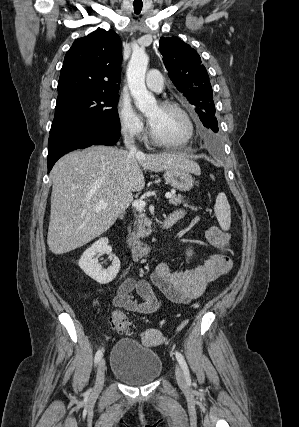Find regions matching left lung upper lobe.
<instances>
[{
  "mask_svg": "<svg viewBox=\"0 0 299 427\" xmlns=\"http://www.w3.org/2000/svg\"><path fill=\"white\" fill-rule=\"evenodd\" d=\"M159 51L177 89L195 106L203 125L218 132L212 86L199 54L176 37L160 38Z\"/></svg>",
  "mask_w": 299,
  "mask_h": 427,
  "instance_id": "1",
  "label": "left lung upper lobe"
}]
</instances>
